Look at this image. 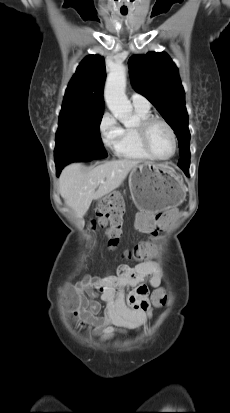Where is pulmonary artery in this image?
Masks as SVG:
<instances>
[{
  "mask_svg": "<svg viewBox=\"0 0 230 413\" xmlns=\"http://www.w3.org/2000/svg\"><path fill=\"white\" fill-rule=\"evenodd\" d=\"M131 102L133 107L136 109L149 110L150 108L149 101L144 96L138 93H133L131 95Z\"/></svg>",
  "mask_w": 230,
  "mask_h": 413,
  "instance_id": "pulmonary-artery-1",
  "label": "pulmonary artery"
}]
</instances>
